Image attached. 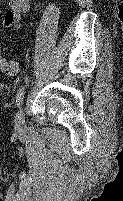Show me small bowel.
<instances>
[{
	"label": "small bowel",
	"mask_w": 123,
	"mask_h": 201,
	"mask_svg": "<svg viewBox=\"0 0 123 201\" xmlns=\"http://www.w3.org/2000/svg\"><path fill=\"white\" fill-rule=\"evenodd\" d=\"M7 3L8 10L4 14L1 27L19 29L21 15L30 11V0H7Z\"/></svg>",
	"instance_id": "small-bowel-1"
}]
</instances>
